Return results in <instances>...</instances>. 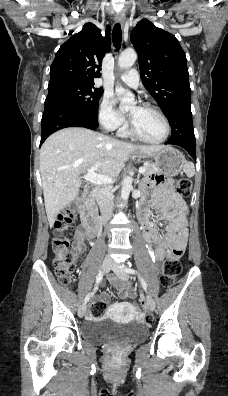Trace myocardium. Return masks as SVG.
<instances>
[{"instance_id": "myocardium-1", "label": "myocardium", "mask_w": 228, "mask_h": 396, "mask_svg": "<svg viewBox=\"0 0 228 396\" xmlns=\"http://www.w3.org/2000/svg\"><path fill=\"white\" fill-rule=\"evenodd\" d=\"M140 106L145 109L154 111L161 118V120L164 124V128H165L164 135L158 140L146 139L141 134H139V132L134 127L132 121L130 122V126H129V131H130L131 135L133 137H135L136 139L140 140L141 142H144L147 144L156 145V144H161V143L166 142L170 136V133H171V127H170V124H169V121H168V118L166 117V115L157 106L152 105L150 103H142Z\"/></svg>"}]
</instances>
